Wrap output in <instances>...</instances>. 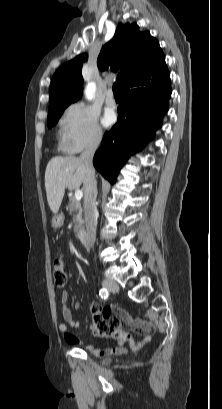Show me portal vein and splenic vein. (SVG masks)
<instances>
[{
    "label": "portal vein and splenic vein",
    "instance_id": "1",
    "mask_svg": "<svg viewBox=\"0 0 222 409\" xmlns=\"http://www.w3.org/2000/svg\"><path fill=\"white\" fill-rule=\"evenodd\" d=\"M83 197V192L81 190H76L75 191V199L76 201H80Z\"/></svg>",
    "mask_w": 222,
    "mask_h": 409
}]
</instances>
